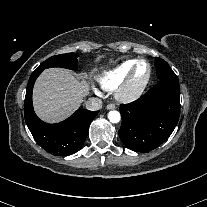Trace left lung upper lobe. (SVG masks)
Instances as JSON below:
<instances>
[{
  "label": "left lung upper lobe",
  "mask_w": 207,
  "mask_h": 207,
  "mask_svg": "<svg viewBox=\"0 0 207 207\" xmlns=\"http://www.w3.org/2000/svg\"><path fill=\"white\" fill-rule=\"evenodd\" d=\"M155 66H156L157 77L159 80L169 77H176V74L172 71L171 67L163 59L156 57Z\"/></svg>",
  "instance_id": "left-lung-upper-lobe-1"
}]
</instances>
